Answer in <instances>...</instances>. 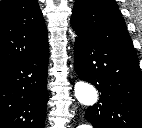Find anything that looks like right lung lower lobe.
I'll use <instances>...</instances> for the list:
<instances>
[{
	"label": "right lung lower lobe",
	"mask_w": 142,
	"mask_h": 128,
	"mask_svg": "<svg viewBox=\"0 0 142 128\" xmlns=\"http://www.w3.org/2000/svg\"><path fill=\"white\" fill-rule=\"evenodd\" d=\"M49 46L0 71V128H43Z\"/></svg>",
	"instance_id": "1"
}]
</instances>
